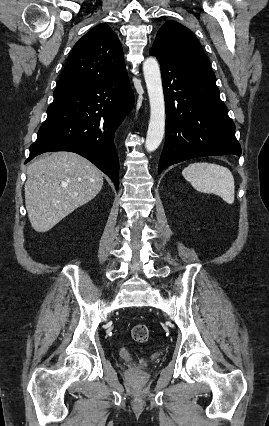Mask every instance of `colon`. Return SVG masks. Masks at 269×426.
<instances>
[{
    "mask_svg": "<svg viewBox=\"0 0 269 426\" xmlns=\"http://www.w3.org/2000/svg\"><path fill=\"white\" fill-rule=\"evenodd\" d=\"M131 335L135 342L139 344L147 343L150 337L149 327L145 324H137L133 326Z\"/></svg>",
    "mask_w": 269,
    "mask_h": 426,
    "instance_id": "1",
    "label": "colon"
}]
</instances>
